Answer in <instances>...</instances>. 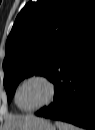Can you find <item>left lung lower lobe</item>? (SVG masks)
Masks as SVG:
<instances>
[{
  "mask_svg": "<svg viewBox=\"0 0 95 130\" xmlns=\"http://www.w3.org/2000/svg\"><path fill=\"white\" fill-rule=\"evenodd\" d=\"M51 81L54 101L36 115L95 128V13L78 27Z\"/></svg>",
  "mask_w": 95,
  "mask_h": 130,
  "instance_id": "0a47b994",
  "label": "left lung lower lobe"
}]
</instances>
